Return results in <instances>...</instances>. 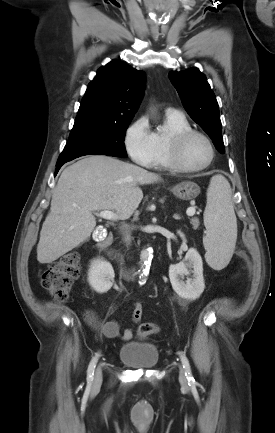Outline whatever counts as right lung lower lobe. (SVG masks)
Listing matches in <instances>:
<instances>
[{
    "mask_svg": "<svg viewBox=\"0 0 275 433\" xmlns=\"http://www.w3.org/2000/svg\"><path fill=\"white\" fill-rule=\"evenodd\" d=\"M64 163H66V162H63V163H57V164H56V172H55V175L57 174V172L59 171V169L61 168V166H62Z\"/></svg>",
    "mask_w": 275,
    "mask_h": 433,
    "instance_id": "1",
    "label": "right lung lower lobe"
}]
</instances>
